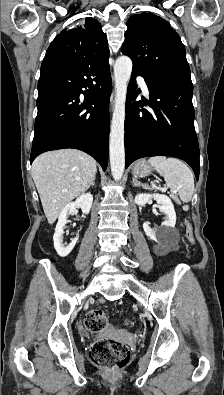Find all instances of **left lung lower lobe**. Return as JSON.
Segmentation results:
<instances>
[{
	"mask_svg": "<svg viewBox=\"0 0 224 395\" xmlns=\"http://www.w3.org/2000/svg\"><path fill=\"white\" fill-rule=\"evenodd\" d=\"M136 76L148 86L153 111L139 109L136 99ZM193 85L132 70L128 87L125 119V168L142 157L167 155L180 158L199 178V146L194 128Z\"/></svg>",
	"mask_w": 224,
	"mask_h": 395,
	"instance_id": "1",
	"label": "left lung lower lobe"
}]
</instances>
